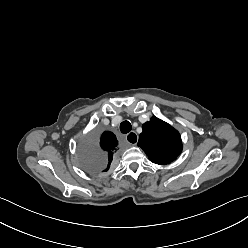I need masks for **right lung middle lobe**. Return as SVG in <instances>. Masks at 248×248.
<instances>
[{
    "instance_id": "obj_1",
    "label": "right lung middle lobe",
    "mask_w": 248,
    "mask_h": 248,
    "mask_svg": "<svg viewBox=\"0 0 248 248\" xmlns=\"http://www.w3.org/2000/svg\"><path fill=\"white\" fill-rule=\"evenodd\" d=\"M100 149L97 142L82 141L79 146L82 168L91 173L99 174L104 172L108 159L106 152Z\"/></svg>"
}]
</instances>
